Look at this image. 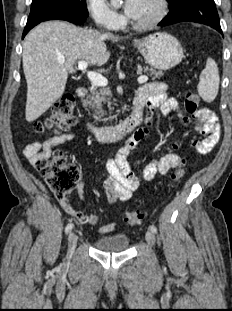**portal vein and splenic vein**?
Here are the masks:
<instances>
[{
  "label": "portal vein and splenic vein",
  "instance_id": "1",
  "mask_svg": "<svg viewBox=\"0 0 232 311\" xmlns=\"http://www.w3.org/2000/svg\"><path fill=\"white\" fill-rule=\"evenodd\" d=\"M59 63L63 64L64 59L63 58L59 59ZM87 66H88V63L84 60L78 62V68L80 70H85L87 68ZM87 77L96 86L105 87L108 84L107 78H105L104 76H102L101 74H98L96 72L89 71L87 73ZM147 80H148V77L146 75H141L137 79L138 83H140V84L147 82Z\"/></svg>",
  "mask_w": 232,
  "mask_h": 311
}]
</instances>
